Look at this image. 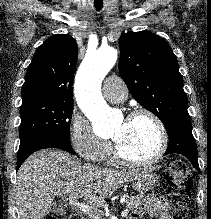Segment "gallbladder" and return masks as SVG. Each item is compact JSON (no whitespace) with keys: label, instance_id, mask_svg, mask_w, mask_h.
<instances>
[{"label":"gallbladder","instance_id":"1","mask_svg":"<svg viewBox=\"0 0 211 219\" xmlns=\"http://www.w3.org/2000/svg\"><path fill=\"white\" fill-rule=\"evenodd\" d=\"M51 211L57 215L65 214L66 210L65 207L61 202H54L51 204Z\"/></svg>","mask_w":211,"mask_h":219}]
</instances>
